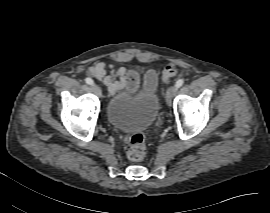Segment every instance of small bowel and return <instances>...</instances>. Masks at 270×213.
Masks as SVG:
<instances>
[{"label":"small bowel","mask_w":270,"mask_h":213,"mask_svg":"<svg viewBox=\"0 0 270 213\" xmlns=\"http://www.w3.org/2000/svg\"><path fill=\"white\" fill-rule=\"evenodd\" d=\"M89 74L103 83L108 91L112 93L120 89L135 93L141 86L152 92L157 85V74L153 69L142 75L138 69L127 71L122 67L116 68L113 65L99 61L89 68Z\"/></svg>","instance_id":"c3829d8e"}]
</instances>
